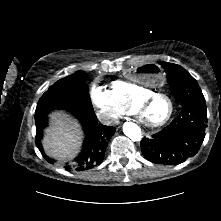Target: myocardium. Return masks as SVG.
I'll return each mask as SVG.
<instances>
[{
	"label": "myocardium",
	"instance_id": "obj_1",
	"mask_svg": "<svg viewBox=\"0 0 221 221\" xmlns=\"http://www.w3.org/2000/svg\"><path fill=\"white\" fill-rule=\"evenodd\" d=\"M157 98L166 99L170 104V110H169L168 115L164 119H162L158 122H151L145 116L146 108L149 106V104L153 100H155ZM134 112H137L140 122L143 123L145 126L150 127V128H156V127L163 126L170 121V119L173 117L174 112H175V104L169 95H167L165 93H161V92H154V93L146 96L142 100H140L137 103V105L135 106Z\"/></svg>",
	"mask_w": 221,
	"mask_h": 221
}]
</instances>
